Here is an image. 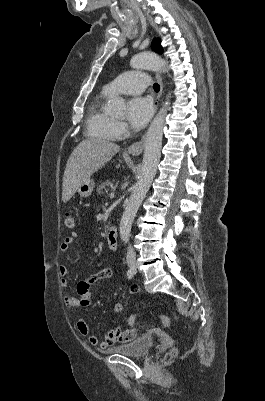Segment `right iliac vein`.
I'll return each mask as SVG.
<instances>
[{
	"instance_id": "obj_1",
	"label": "right iliac vein",
	"mask_w": 265,
	"mask_h": 401,
	"mask_svg": "<svg viewBox=\"0 0 265 401\" xmlns=\"http://www.w3.org/2000/svg\"><path fill=\"white\" fill-rule=\"evenodd\" d=\"M130 268H131V269H134V268H135V263H131V264H130Z\"/></svg>"
}]
</instances>
